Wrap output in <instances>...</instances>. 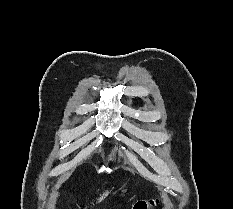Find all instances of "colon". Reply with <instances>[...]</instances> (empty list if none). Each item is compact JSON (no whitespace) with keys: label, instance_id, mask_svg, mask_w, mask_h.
Returning a JSON list of instances; mask_svg holds the SVG:
<instances>
[{"label":"colon","instance_id":"5ec220e1","mask_svg":"<svg viewBox=\"0 0 233 209\" xmlns=\"http://www.w3.org/2000/svg\"><path fill=\"white\" fill-rule=\"evenodd\" d=\"M158 204H159V201L156 198L140 200L134 204L133 209H153Z\"/></svg>","mask_w":233,"mask_h":209}]
</instances>
